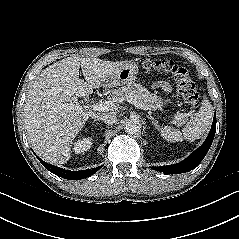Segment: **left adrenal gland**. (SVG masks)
<instances>
[{
  "label": "left adrenal gland",
  "instance_id": "obj_1",
  "mask_svg": "<svg viewBox=\"0 0 239 239\" xmlns=\"http://www.w3.org/2000/svg\"><path fill=\"white\" fill-rule=\"evenodd\" d=\"M147 118L150 119L152 121V123L154 124L155 128H157L159 130L160 126H159L158 121L150 115H147Z\"/></svg>",
  "mask_w": 239,
  "mask_h": 239
}]
</instances>
